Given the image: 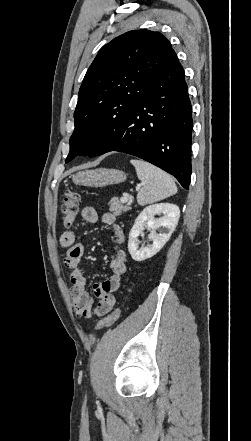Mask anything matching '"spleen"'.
I'll list each match as a JSON object with an SVG mask.
<instances>
[{
	"label": "spleen",
	"mask_w": 251,
	"mask_h": 441,
	"mask_svg": "<svg viewBox=\"0 0 251 441\" xmlns=\"http://www.w3.org/2000/svg\"><path fill=\"white\" fill-rule=\"evenodd\" d=\"M130 162L143 185L137 194L139 205L152 204L176 194V184L166 172L143 160L131 159Z\"/></svg>",
	"instance_id": "3e777b00"
}]
</instances>
